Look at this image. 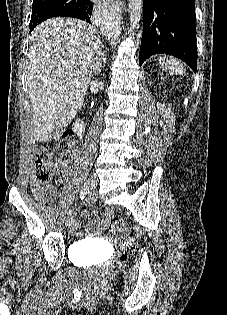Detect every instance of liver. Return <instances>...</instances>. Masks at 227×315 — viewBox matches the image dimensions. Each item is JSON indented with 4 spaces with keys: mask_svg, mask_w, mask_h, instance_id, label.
I'll return each mask as SVG.
<instances>
[{
    "mask_svg": "<svg viewBox=\"0 0 227 315\" xmlns=\"http://www.w3.org/2000/svg\"><path fill=\"white\" fill-rule=\"evenodd\" d=\"M29 40L26 72L34 139L42 142L67 127L82 107L100 36L85 21L54 18L38 25Z\"/></svg>",
    "mask_w": 227,
    "mask_h": 315,
    "instance_id": "1",
    "label": "liver"
}]
</instances>
